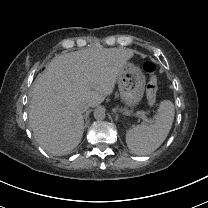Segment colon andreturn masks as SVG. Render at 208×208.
<instances>
[{
	"mask_svg": "<svg viewBox=\"0 0 208 208\" xmlns=\"http://www.w3.org/2000/svg\"><path fill=\"white\" fill-rule=\"evenodd\" d=\"M143 69L148 75V82L146 84V96L149 105H154L157 92V76H156V64L152 60H146L143 63Z\"/></svg>",
	"mask_w": 208,
	"mask_h": 208,
	"instance_id": "colon-1",
	"label": "colon"
}]
</instances>
